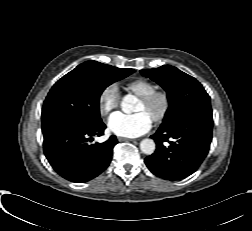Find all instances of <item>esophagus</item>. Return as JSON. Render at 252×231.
Instances as JSON below:
<instances>
[{
  "label": "esophagus",
  "mask_w": 252,
  "mask_h": 231,
  "mask_svg": "<svg viewBox=\"0 0 252 231\" xmlns=\"http://www.w3.org/2000/svg\"><path fill=\"white\" fill-rule=\"evenodd\" d=\"M118 141L119 142H123V141H135V140L134 139L125 138V137H118Z\"/></svg>",
  "instance_id": "1"
}]
</instances>
